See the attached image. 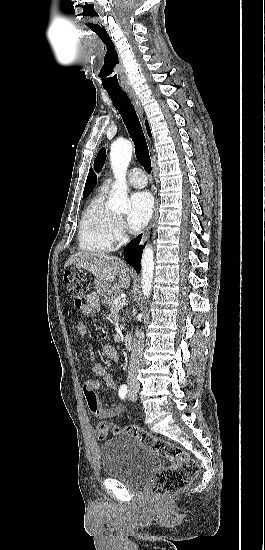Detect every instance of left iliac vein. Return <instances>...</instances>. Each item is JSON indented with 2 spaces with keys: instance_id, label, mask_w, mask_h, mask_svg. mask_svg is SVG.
I'll list each match as a JSON object with an SVG mask.
<instances>
[{
  "instance_id": "left-iliac-vein-1",
  "label": "left iliac vein",
  "mask_w": 265,
  "mask_h": 550,
  "mask_svg": "<svg viewBox=\"0 0 265 550\" xmlns=\"http://www.w3.org/2000/svg\"><path fill=\"white\" fill-rule=\"evenodd\" d=\"M128 398H129L130 400H132V401L134 400V398H132V397L130 396V394L128 395Z\"/></svg>"
}]
</instances>
